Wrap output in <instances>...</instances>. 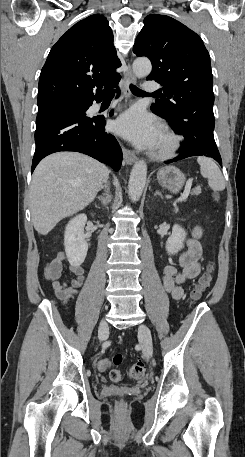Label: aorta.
Instances as JSON below:
<instances>
[{
	"instance_id": "1",
	"label": "aorta",
	"mask_w": 245,
	"mask_h": 457,
	"mask_svg": "<svg viewBox=\"0 0 245 457\" xmlns=\"http://www.w3.org/2000/svg\"><path fill=\"white\" fill-rule=\"evenodd\" d=\"M133 73L137 78H143L150 74L152 65L147 58H137L133 62ZM147 178V164L143 160H138L134 164L128 183L129 198L136 202L142 195Z\"/></svg>"
}]
</instances>
